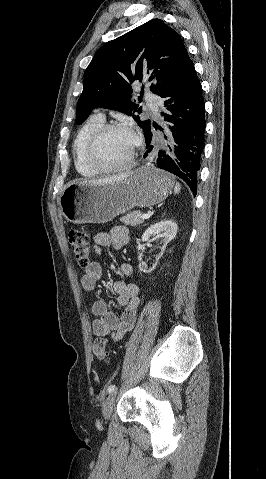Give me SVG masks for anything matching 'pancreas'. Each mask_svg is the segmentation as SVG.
<instances>
[{
    "label": "pancreas",
    "instance_id": "pancreas-1",
    "mask_svg": "<svg viewBox=\"0 0 266 479\" xmlns=\"http://www.w3.org/2000/svg\"><path fill=\"white\" fill-rule=\"evenodd\" d=\"M142 215L143 213L139 210L133 211L123 216L120 221L123 222L125 225H140L144 221V219L141 218Z\"/></svg>",
    "mask_w": 266,
    "mask_h": 479
}]
</instances>
